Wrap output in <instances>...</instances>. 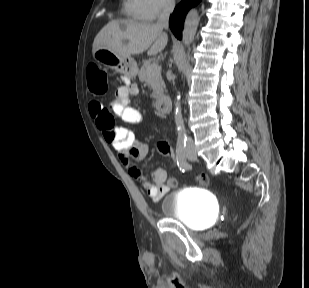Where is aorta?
<instances>
[{"label":"aorta","mask_w":309,"mask_h":288,"mask_svg":"<svg viewBox=\"0 0 309 288\" xmlns=\"http://www.w3.org/2000/svg\"><path fill=\"white\" fill-rule=\"evenodd\" d=\"M199 24V15L196 10H191L187 14L182 31V42L185 46L191 44L195 38ZM174 119L177 128L178 137L185 136L184 120L181 112L180 96H177L175 101Z\"/></svg>","instance_id":"1"}]
</instances>
